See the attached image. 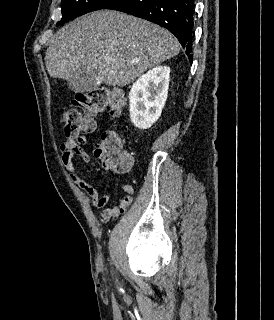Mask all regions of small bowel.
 I'll list each match as a JSON object with an SVG mask.
<instances>
[{"label":"small bowel","mask_w":274,"mask_h":320,"mask_svg":"<svg viewBox=\"0 0 274 320\" xmlns=\"http://www.w3.org/2000/svg\"><path fill=\"white\" fill-rule=\"evenodd\" d=\"M85 126L87 131L96 130L95 119H85ZM91 140L86 136L70 137L67 138L60 146L61 160L65 169L68 171L71 180L90 198L91 204L94 208H104L110 201V195H100L99 187L95 184L88 182L80 177L78 170L74 165V158L76 156L81 157L82 161L86 164L90 162L89 154L83 149L84 146L89 145ZM96 155L99 158H103L104 153L101 150L96 151ZM123 161H134L132 155L126 152V156ZM132 168H120L119 173H127ZM121 188L125 192V195L119 200L118 204L111 208H104L100 213V220L104 223L110 222L119 218L131 205L132 195L134 189L127 183H121Z\"/></svg>","instance_id":"c3829d8e"}]
</instances>
